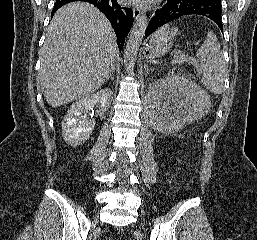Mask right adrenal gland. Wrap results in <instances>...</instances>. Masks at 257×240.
Listing matches in <instances>:
<instances>
[{"label": "right adrenal gland", "instance_id": "obj_1", "mask_svg": "<svg viewBox=\"0 0 257 240\" xmlns=\"http://www.w3.org/2000/svg\"><path fill=\"white\" fill-rule=\"evenodd\" d=\"M108 79L114 80V70L105 81H107Z\"/></svg>", "mask_w": 257, "mask_h": 240}]
</instances>
